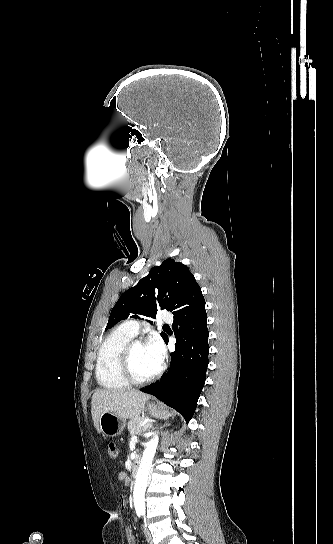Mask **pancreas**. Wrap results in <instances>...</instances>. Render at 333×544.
Returning <instances> with one entry per match:
<instances>
[{
  "label": "pancreas",
  "mask_w": 333,
  "mask_h": 544,
  "mask_svg": "<svg viewBox=\"0 0 333 544\" xmlns=\"http://www.w3.org/2000/svg\"><path fill=\"white\" fill-rule=\"evenodd\" d=\"M145 420H149L148 417H144V416H139L133 420H131L128 424V431L130 433V435H135L139 432L140 430V425L145 421ZM151 427V424L150 422L148 421L142 428L143 429H147Z\"/></svg>",
  "instance_id": "1"
}]
</instances>
